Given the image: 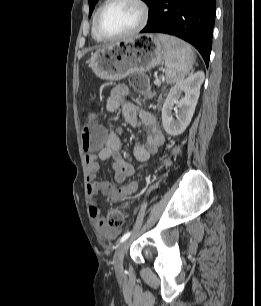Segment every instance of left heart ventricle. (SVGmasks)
<instances>
[{
  "label": "left heart ventricle",
  "instance_id": "1",
  "mask_svg": "<svg viewBox=\"0 0 261 306\" xmlns=\"http://www.w3.org/2000/svg\"><path fill=\"white\" fill-rule=\"evenodd\" d=\"M141 19L139 7L128 1L119 0L109 5L100 19V28L107 35H120L133 30Z\"/></svg>",
  "mask_w": 261,
  "mask_h": 306
}]
</instances>
